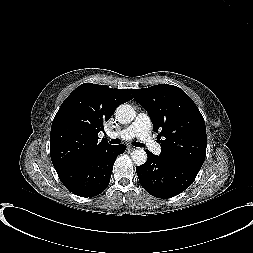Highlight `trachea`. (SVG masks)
<instances>
[{"mask_svg":"<svg viewBox=\"0 0 253 253\" xmlns=\"http://www.w3.org/2000/svg\"><path fill=\"white\" fill-rule=\"evenodd\" d=\"M110 143L111 144H120L121 143V140L120 139H111L110 140ZM133 146L135 147H143L144 145L140 142H133L132 143Z\"/></svg>","mask_w":253,"mask_h":253,"instance_id":"3493384b","label":"trachea"}]
</instances>
